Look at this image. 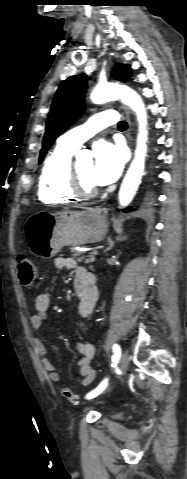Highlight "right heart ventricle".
<instances>
[{"label":"right heart ventricle","instance_id":"right-heart-ventricle-1","mask_svg":"<svg viewBox=\"0 0 187 479\" xmlns=\"http://www.w3.org/2000/svg\"><path fill=\"white\" fill-rule=\"evenodd\" d=\"M76 149L57 141L46 157L38 180V197L45 204L70 203L77 197L68 188V172Z\"/></svg>","mask_w":187,"mask_h":479}]
</instances>
